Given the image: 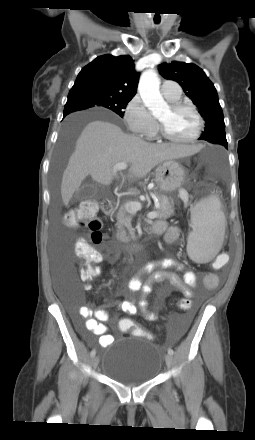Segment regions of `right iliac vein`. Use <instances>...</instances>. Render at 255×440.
<instances>
[{
  "instance_id": "63e3f726",
  "label": "right iliac vein",
  "mask_w": 255,
  "mask_h": 440,
  "mask_svg": "<svg viewBox=\"0 0 255 440\" xmlns=\"http://www.w3.org/2000/svg\"><path fill=\"white\" fill-rule=\"evenodd\" d=\"M98 363H99V358H98L97 356L92 357V359H91V365H92V367H93V368H96L97 365H98Z\"/></svg>"
}]
</instances>
